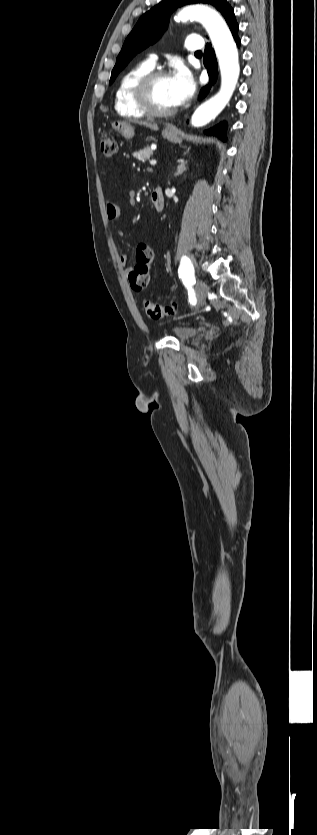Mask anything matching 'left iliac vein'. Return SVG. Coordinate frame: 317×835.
<instances>
[{"mask_svg":"<svg viewBox=\"0 0 317 835\" xmlns=\"http://www.w3.org/2000/svg\"><path fill=\"white\" fill-rule=\"evenodd\" d=\"M207 294H208L207 284L202 280H198L197 285H196V299H197L196 308L197 309L200 307L202 302L205 300Z\"/></svg>","mask_w":317,"mask_h":835,"instance_id":"left-iliac-vein-1","label":"left iliac vein"}]
</instances>
